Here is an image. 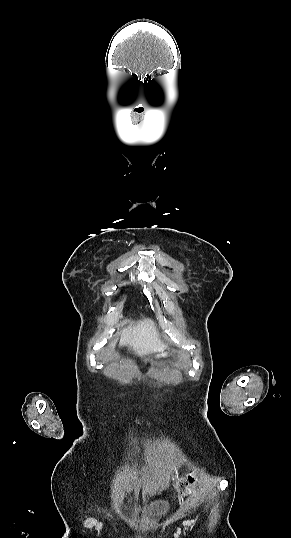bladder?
<instances>
[{"instance_id":"bladder-1","label":"bladder","mask_w":291,"mask_h":538,"mask_svg":"<svg viewBox=\"0 0 291 538\" xmlns=\"http://www.w3.org/2000/svg\"><path fill=\"white\" fill-rule=\"evenodd\" d=\"M169 512V501L164 497H158L139 504L131 503L128 520L136 525H155L163 522Z\"/></svg>"}]
</instances>
